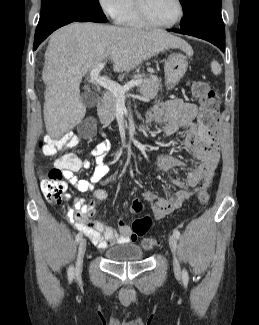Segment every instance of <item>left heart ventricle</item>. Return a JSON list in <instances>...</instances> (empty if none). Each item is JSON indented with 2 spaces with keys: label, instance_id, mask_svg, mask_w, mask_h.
<instances>
[{
  "label": "left heart ventricle",
  "instance_id": "b2bd125f",
  "mask_svg": "<svg viewBox=\"0 0 259 325\" xmlns=\"http://www.w3.org/2000/svg\"><path fill=\"white\" fill-rule=\"evenodd\" d=\"M149 18L158 24L172 22L178 14L175 0H142Z\"/></svg>",
  "mask_w": 259,
  "mask_h": 325
}]
</instances>
